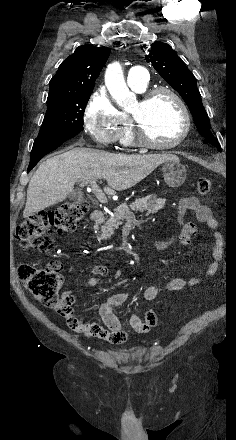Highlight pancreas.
<instances>
[{
  "label": "pancreas",
  "instance_id": "obj_1",
  "mask_svg": "<svg viewBox=\"0 0 236 440\" xmlns=\"http://www.w3.org/2000/svg\"><path fill=\"white\" fill-rule=\"evenodd\" d=\"M165 205V199L157 198L156 195H148L145 198L137 199L130 205H120L114 210V215L109 219H102L100 222L101 238L108 239L113 234L115 229L123 223L124 219H135L132 211H147V214L157 213ZM99 229V227H97Z\"/></svg>",
  "mask_w": 236,
  "mask_h": 440
}]
</instances>
